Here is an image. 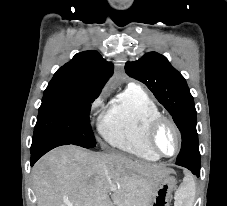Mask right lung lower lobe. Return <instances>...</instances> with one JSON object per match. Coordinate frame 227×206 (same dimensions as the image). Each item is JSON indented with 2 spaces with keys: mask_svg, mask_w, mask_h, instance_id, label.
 Wrapping results in <instances>:
<instances>
[{
  "mask_svg": "<svg viewBox=\"0 0 227 206\" xmlns=\"http://www.w3.org/2000/svg\"><path fill=\"white\" fill-rule=\"evenodd\" d=\"M60 145H66V144L60 140L54 139V140H48V141L42 142L36 146H32L31 147V166L34 165V163L45 153Z\"/></svg>",
  "mask_w": 227,
  "mask_h": 206,
  "instance_id": "obj_1",
  "label": "right lung lower lobe"
}]
</instances>
